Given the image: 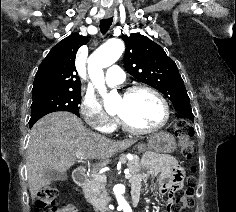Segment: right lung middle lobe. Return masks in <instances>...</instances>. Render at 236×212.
Masks as SVG:
<instances>
[{"label": "right lung middle lobe", "instance_id": "1", "mask_svg": "<svg viewBox=\"0 0 236 212\" xmlns=\"http://www.w3.org/2000/svg\"><path fill=\"white\" fill-rule=\"evenodd\" d=\"M81 91H48L33 95L29 125L44 115L56 111H68L79 115Z\"/></svg>", "mask_w": 236, "mask_h": 212}]
</instances>
